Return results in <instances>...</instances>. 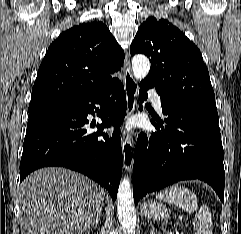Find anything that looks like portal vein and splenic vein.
Instances as JSON below:
<instances>
[{"label": "portal vein and splenic vein", "mask_w": 241, "mask_h": 234, "mask_svg": "<svg viewBox=\"0 0 241 234\" xmlns=\"http://www.w3.org/2000/svg\"><path fill=\"white\" fill-rule=\"evenodd\" d=\"M168 234H173L172 232H169Z\"/></svg>", "instance_id": "1"}]
</instances>
